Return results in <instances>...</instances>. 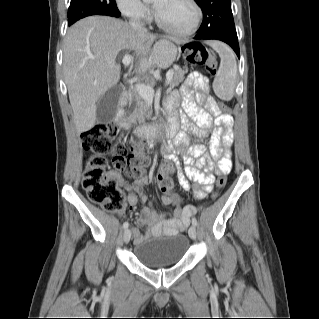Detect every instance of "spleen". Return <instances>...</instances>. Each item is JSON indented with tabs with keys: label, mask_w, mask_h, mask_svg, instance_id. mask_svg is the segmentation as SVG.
<instances>
[{
	"label": "spleen",
	"mask_w": 319,
	"mask_h": 319,
	"mask_svg": "<svg viewBox=\"0 0 319 319\" xmlns=\"http://www.w3.org/2000/svg\"><path fill=\"white\" fill-rule=\"evenodd\" d=\"M208 44L219 54V69L213 81V90L217 97L230 101L234 96L237 78V63L233 51L224 43L210 41Z\"/></svg>",
	"instance_id": "3e777b00"
}]
</instances>
